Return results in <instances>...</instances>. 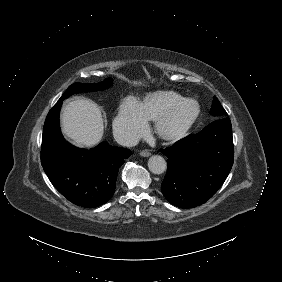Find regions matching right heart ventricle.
<instances>
[{"mask_svg": "<svg viewBox=\"0 0 282 282\" xmlns=\"http://www.w3.org/2000/svg\"><path fill=\"white\" fill-rule=\"evenodd\" d=\"M181 98L173 92H156L148 95L140 106L147 119L157 120L171 104Z\"/></svg>", "mask_w": 282, "mask_h": 282, "instance_id": "obj_1", "label": "right heart ventricle"}]
</instances>
